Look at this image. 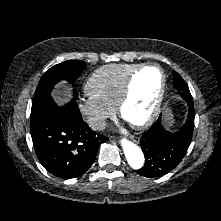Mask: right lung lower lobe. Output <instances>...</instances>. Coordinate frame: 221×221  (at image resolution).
Here are the masks:
<instances>
[{
	"label": "right lung lower lobe",
	"mask_w": 221,
	"mask_h": 221,
	"mask_svg": "<svg viewBox=\"0 0 221 221\" xmlns=\"http://www.w3.org/2000/svg\"><path fill=\"white\" fill-rule=\"evenodd\" d=\"M30 132L40 163L63 179L83 175L93 164L100 144L108 139L82 120L74 99L59 107L49 97L32 108Z\"/></svg>",
	"instance_id": "98d812e1"
}]
</instances>
